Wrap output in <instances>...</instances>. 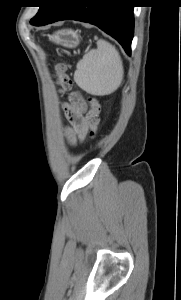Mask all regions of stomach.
<instances>
[{"label": "stomach", "mask_w": 181, "mask_h": 300, "mask_svg": "<svg viewBox=\"0 0 181 300\" xmlns=\"http://www.w3.org/2000/svg\"><path fill=\"white\" fill-rule=\"evenodd\" d=\"M49 40L66 48H75L80 43L77 31L72 29L59 30L54 34L49 35Z\"/></svg>", "instance_id": "stomach-1"}]
</instances>
